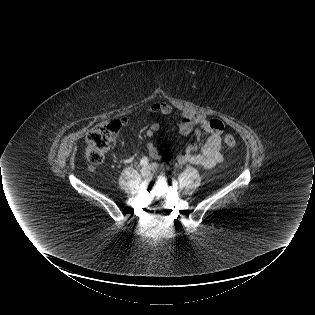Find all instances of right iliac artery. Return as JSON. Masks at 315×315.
<instances>
[{
  "mask_svg": "<svg viewBox=\"0 0 315 315\" xmlns=\"http://www.w3.org/2000/svg\"><path fill=\"white\" fill-rule=\"evenodd\" d=\"M149 163V159L147 157H143L141 160H140V165L141 166H146L148 165Z\"/></svg>",
  "mask_w": 315,
  "mask_h": 315,
  "instance_id": "obj_1",
  "label": "right iliac artery"
}]
</instances>
